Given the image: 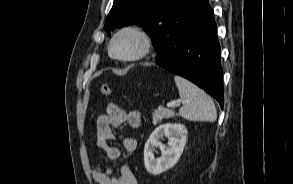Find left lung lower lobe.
Listing matches in <instances>:
<instances>
[{
  "instance_id": "1",
  "label": "left lung lower lobe",
  "mask_w": 293,
  "mask_h": 184,
  "mask_svg": "<svg viewBox=\"0 0 293 184\" xmlns=\"http://www.w3.org/2000/svg\"><path fill=\"white\" fill-rule=\"evenodd\" d=\"M156 63L208 92L223 107L220 45L208 0H183L173 9Z\"/></svg>"
}]
</instances>
